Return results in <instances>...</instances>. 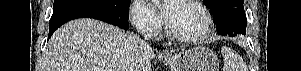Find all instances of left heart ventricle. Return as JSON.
<instances>
[{"instance_id": "1", "label": "left heart ventricle", "mask_w": 301, "mask_h": 71, "mask_svg": "<svg viewBox=\"0 0 301 71\" xmlns=\"http://www.w3.org/2000/svg\"><path fill=\"white\" fill-rule=\"evenodd\" d=\"M168 24L177 33L195 35L204 27V20L195 8L183 1H179L174 17Z\"/></svg>"}]
</instances>
